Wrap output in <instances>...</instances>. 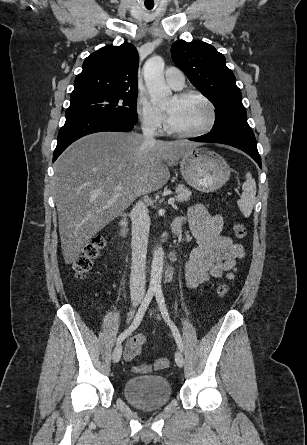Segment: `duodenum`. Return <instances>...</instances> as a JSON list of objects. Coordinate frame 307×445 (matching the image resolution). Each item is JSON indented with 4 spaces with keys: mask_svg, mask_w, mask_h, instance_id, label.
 I'll return each mask as SVG.
<instances>
[{
    "mask_svg": "<svg viewBox=\"0 0 307 445\" xmlns=\"http://www.w3.org/2000/svg\"><path fill=\"white\" fill-rule=\"evenodd\" d=\"M119 225H120L121 235L123 237L127 236V234H128V219H127V214L126 213L122 215V218H121V220L119 222ZM172 233L173 234H177V232L175 230H172Z\"/></svg>",
    "mask_w": 307,
    "mask_h": 445,
    "instance_id": "1",
    "label": "duodenum"
}]
</instances>
